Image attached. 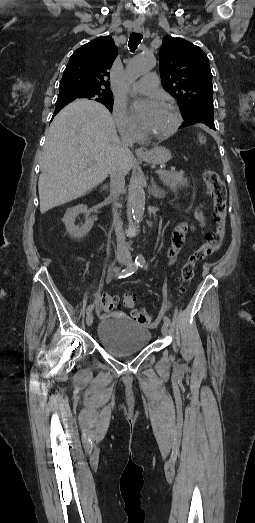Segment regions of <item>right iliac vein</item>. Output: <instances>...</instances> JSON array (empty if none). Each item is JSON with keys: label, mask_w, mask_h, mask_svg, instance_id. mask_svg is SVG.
Segmentation results:
<instances>
[{"label": "right iliac vein", "mask_w": 255, "mask_h": 523, "mask_svg": "<svg viewBox=\"0 0 255 523\" xmlns=\"http://www.w3.org/2000/svg\"><path fill=\"white\" fill-rule=\"evenodd\" d=\"M118 261H119L120 264H125V263H126L122 258H119ZM92 323H93V315H92L91 312H89V313L87 314V316H86V324H87L88 326H91Z\"/></svg>", "instance_id": "1"}]
</instances>
